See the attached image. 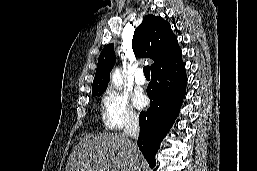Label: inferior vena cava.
Returning a JSON list of instances; mask_svg holds the SVG:
<instances>
[{
  "label": "inferior vena cava",
  "mask_w": 257,
  "mask_h": 171,
  "mask_svg": "<svg viewBox=\"0 0 257 171\" xmlns=\"http://www.w3.org/2000/svg\"><path fill=\"white\" fill-rule=\"evenodd\" d=\"M124 135L127 137H131L133 139H137L139 135V118L136 114H131L125 124ZM131 148L134 153L137 151V145L135 143H131ZM132 171H141V166L138 161H134V166Z\"/></svg>",
  "instance_id": "obj_1"
}]
</instances>
